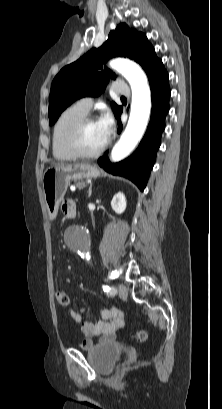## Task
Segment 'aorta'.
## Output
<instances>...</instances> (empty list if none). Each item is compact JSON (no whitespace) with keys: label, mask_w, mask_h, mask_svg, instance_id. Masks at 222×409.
I'll return each mask as SVG.
<instances>
[{"label":"aorta","mask_w":222,"mask_h":409,"mask_svg":"<svg viewBox=\"0 0 222 409\" xmlns=\"http://www.w3.org/2000/svg\"><path fill=\"white\" fill-rule=\"evenodd\" d=\"M110 66L126 78L132 90L128 124L111 152V161L118 162L135 149L145 133L151 112V92L145 73L134 62L116 59L110 62ZM71 234L75 242L71 243L70 247L78 254H86V229L82 226H76L72 229Z\"/></svg>","instance_id":"aorta-1"}]
</instances>
